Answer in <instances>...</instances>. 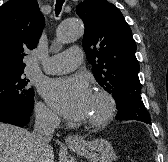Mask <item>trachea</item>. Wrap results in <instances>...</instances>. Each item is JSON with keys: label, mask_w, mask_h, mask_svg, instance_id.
<instances>
[{"label": "trachea", "mask_w": 168, "mask_h": 162, "mask_svg": "<svg viewBox=\"0 0 168 162\" xmlns=\"http://www.w3.org/2000/svg\"><path fill=\"white\" fill-rule=\"evenodd\" d=\"M65 0H56V5H55V13L58 15L61 12L63 3Z\"/></svg>", "instance_id": "3493384b"}]
</instances>
